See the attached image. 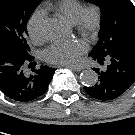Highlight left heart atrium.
Masks as SVG:
<instances>
[{"instance_id": "1", "label": "left heart atrium", "mask_w": 135, "mask_h": 135, "mask_svg": "<svg viewBox=\"0 0 135 135\" xmlns=\"http://www.w3.org/2000/svg\"><path fill=\"white\" fill-rule=\"evenodd\" d=\"M86 51V45L79 40L57 41L45 50V58L50 63L76 64Z\"/></svg>"}]
</instances>
